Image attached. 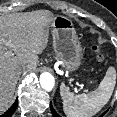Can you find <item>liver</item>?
Here are the masks:
<instances>
[{"label": "liver", "instance_id": "6515ba94", "mask_svg": "<svg viewBox=\"0 0 117 117\" xmlns=\"http://www.w3.org/2000/svg\"><path fill=\"white\" fill-rule=\"evenodd\" d=\"M53 16L48 10H39L0 17V114L13 100L18 70L36 69L38 54L47 46V27ZM7 48L15 55H8Z\"/></svg>", "mask_w": 117, "mask_h": 117}]
</instances>
